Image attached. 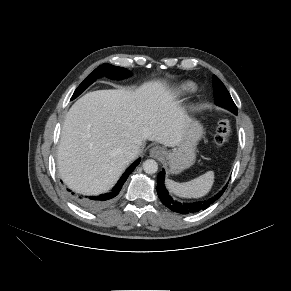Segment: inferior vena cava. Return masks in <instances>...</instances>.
<instances>
[{
  "label": "inferior vena cava",
  "instance_id": "inferior-vena-cava-1",
  "mask_svg": "<svg viewBox=\"0 0 291 291\" xmlns=\"http://www.w3.org/2000/svg\"><path fill=\"white\" fill-rule=\"evenodd\" d=\"M139 153L140 147L136 144L129 145L124 151L125 156L129 159L136 158Z\"/></svg>",
  "mask_w": 291,
  "mask_h": 291
}]
</instances>
